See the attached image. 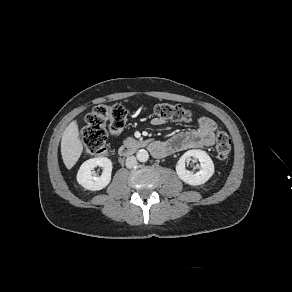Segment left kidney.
Returning a JSON list of instances; mask_svg holds the SVG:
<instances>
[{
  "label": "left kidney",
  "mask_w": 292,
  "mask_h": 292,
  "mask_svg": "<svg viewBox=\"0 0 292 292\" xmlns=\"http://www.w3.org/2000/svg\"><path fill=\"white\" fill-rule=\"evenodd\" d=\"M191 157L200 162V171L196 174L186 170L185 162L190 161ZM176 172L179 178L192 186H197L207 182L214 174V164L209 155L202 150H189L185 152L176 165Z\"/></svg>",
  "instance_id": "5707ae66"
}]
</instances>
